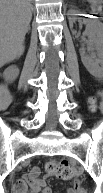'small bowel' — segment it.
Masks as SVG:
<instances>
[{"mask_svg": "<svg viewBox=\"0 0 103 193\" xmlns=\"http://www.w3.org/2000/svg\"><path fill=\"white\" fill-rule=\"evenodd\" d=\"M40 168L38 166L32 169L24 176V180H17L14 183L15 193H27V184L30 186V193H51L50 188L46 185L45 179L40 177ZM67 193H85L83 187L74 182L68 189Z\"/></svg>", "mask_w": 103, "mask_h": 193, "instance_id": "small-bowel-1", "label": "small bowel"}]
</instances>
